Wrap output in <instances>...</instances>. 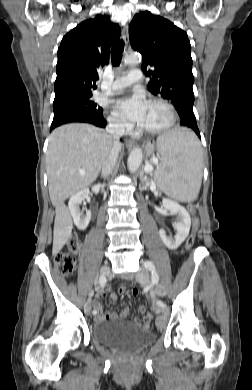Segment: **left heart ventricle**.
<instances>
[{
	"label": "left heart ventricle",
	"instance_id": "left-heart-ventricle-1",
	"mask_svg": "<svg viewBox=\"0 0 252 390\" xmlns=\"http://www.w3.org/2000/svg\"><path fill=\"white\" fill-rule=\"evenodd\" d=\"M169 121V112L161 104H147L144 119L140 126L144 129H156Z\"/></svg>",
	"mask_w": 252,
	"mask_h": 390
}]
</instances>
